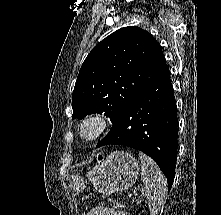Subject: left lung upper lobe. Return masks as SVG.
Masks as SVG:
<instances>
[{
  "instance_id": "1",
  "label": "left lung upper lobe",
  "mask_w": 221,
  "mask_h": 215,
  "mask_svg": "<svg viewBox=\"0 0 221 215\" xmlns=\"http://www.w3.org/2000/svg\"><path fill=\"white\" fill-rule=\"evenodd\" d=\"M166 67L162 49L150 33L131 26L115 31L91 50L81 66L72 118L104 112L114 124Z\"/></svg>"
}]
</instances>
